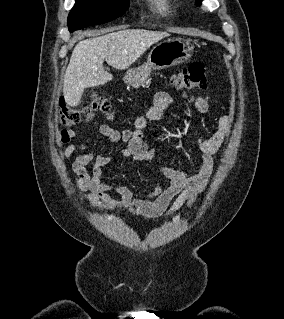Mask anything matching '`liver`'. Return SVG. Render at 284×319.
I'll use <instances>...</instances> for the list:
<instances>
[{
    "label": "liver",
    "instance_id": "obj_1",
    "mask_svg": "<svg viewBox=\"0 0 284 319\" xmlns=\"http://www.w3.org/2000/svg\"><path fill=\"white\" fill-rule=\"evenodd\" d=\"M170 36L167 32L125 29L80 41L72 51L63 85L65 102L75 107L86 88L104 85L113 76L103 62L119 70L130 67L154 43Z\"/></svg>",
    "mask_w": 284,
    "mask_h": 319
}]
</instances>
